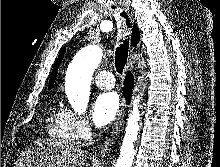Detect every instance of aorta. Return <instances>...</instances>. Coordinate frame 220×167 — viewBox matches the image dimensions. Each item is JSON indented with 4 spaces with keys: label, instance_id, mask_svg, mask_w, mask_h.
Returning <instances> with one entry per match:
<instances>
[{
    "label": "aorta",
    "instance_id": "762f6f07",
    "mask_svg": "<svg viewBox=\"0 0 220 167\" xmlns=\"http://www.w3.org/2000/svg\"><path fill=\"white\" fill-rule=\"evenodd\" d=\"M102 56V50L98 46L90 45L80 50L68 67L65 83L66 94L72 108L79 114L86 111L92 75L101 62ZM139 119V97H137L133 102V108L128 117L116 167L132 166L135 156L133 143L138 137Z\"/></svg>",
    "mask_w": 220,
    "mask_h": 167
}]
</instances>
